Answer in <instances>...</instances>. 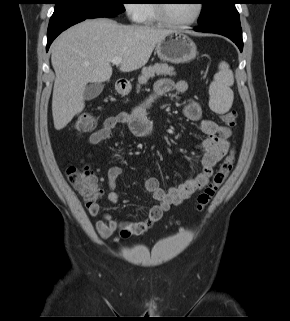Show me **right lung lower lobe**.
Segmentation results:
<instances>
[{"label":"right lung lower lobe","mask_w":290,"mask_h":321,"mask_svg":"<svg viewBox=\"0 0 290 321\" xmlns=\"http://www.w3.org/2000/svg\"><path fill=\"white\" fill-rule=\"evenodd\" d=\"M114 17V16H106ZM87 18H65L59 20H53L49 22L48 32H47V46L46 50L48 51L52 41L64 30L70 26L79 23Z\"/></svg>","instance_id":"1"}]
</instances>
